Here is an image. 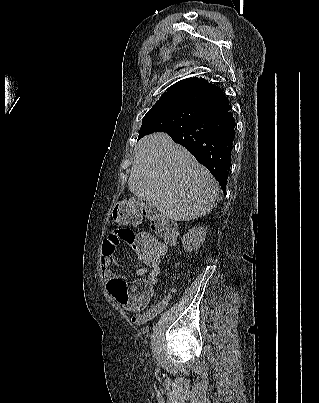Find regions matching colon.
Returning a JSON list of instances; mask_svg holds the SVG:
<instances>
[{"label": "colon", "mask_w": 319, "mask_h": 403, "mask_svg": "<svg viewBox=\"0 0 319 403\" xmlns=\"http://www.w3.org/2000/svg\"><path fill=\"white\" fill-rule=\"evenodd\" d=\"M141 206L130 197H122L113 210L114 221L138 224L146 220L150 229H140L138 234H135L139 253L142 258H159V254L166 253L165 241L171 242L177 237V228L162 215L145 210L147 203L144 202Z\"/></svg>", "instance_id": "obj_1"}]
</instances>
